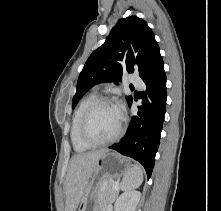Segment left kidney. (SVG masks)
<instances>
[{"instance_id": "5707ae66", "label": "left kidney", "mask_w": 221, "mask_h": 211, "mask_svg": "<svg viewBox=\"0 0 221 211\" xmlns=\"http://www.w3.org/2000/svg\"><path fill=\"white\" fill-rule=\"evenodd\" d=\"M140 197L141 193L139 191L124 192L114 204L115 211H135Z\"/></svg>"}]
</instances>
